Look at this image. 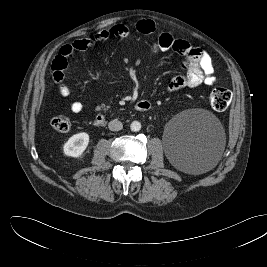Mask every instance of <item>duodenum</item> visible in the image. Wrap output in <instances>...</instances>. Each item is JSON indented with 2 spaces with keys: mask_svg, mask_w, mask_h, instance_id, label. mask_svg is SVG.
<instances>
[{
  "mask_svg": "<svg viewBox=\"0 0 267 267\" xmlns=\"http://www.w3.org/2000/svg\"><path fill=\"white\" fill-rule=\"evenodd\" d=\"M151 108V104L148 101L141 100L135 104V110L139 112L147 111ZM94 124L96 126H105L107 124V118L104 114H98L95 117Z\"/></svg>",
  "mask_w": 267,
  "mask_h": 267,
  "instance_id": "410a0bca",
  "label": "duodenum"
}]
</instances>
